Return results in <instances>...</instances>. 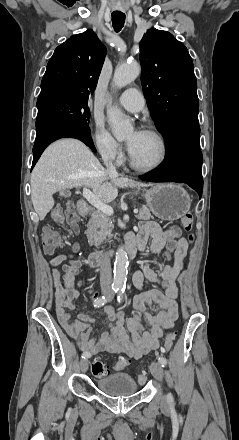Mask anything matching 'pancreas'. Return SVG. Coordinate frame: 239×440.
<instances>
[{"label":"pancreas","instance_id":"obj_1","mask_svg":"<svg viewBox=\"0 0 239 440\" xmlns=\"http://www.w3.org/2000/svg\"><path fill=\"white\" fill-rule=\"evenodd\" d=\"M136 218H138V220H150V218H152L153 220V216H151L147 206L140 208V212ZM87 228L88 230H86L85 234H87L88 244L89 246H96L97 248V246H100L107 238H109V240L112 238L111 232L114 228V224L107 218L106 214L93 212L87 224Z\"/></svg>","mask_w":239,"mask_h":440}]
</instances>
